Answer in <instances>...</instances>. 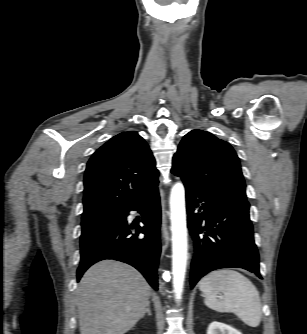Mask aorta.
I'll return each instance as SVG.
<instances>
[{
    "label": "aorta",
    "instance_id": "obj_1",
    "mask_svg": "<svg viewBox=\"0 0 307 334\" xmlns=\"http://www.w3.org/2000/svg\"><path fill=\"white\" fill-rule=\"evenodd\" d=\"M170 219L172 231L173 290L177 301L182 298L188 259L185 189L176 183L170 194Z\"/></svg>",
    "mask_w": 307,
    "mask_h": 334
}]
</instances>
